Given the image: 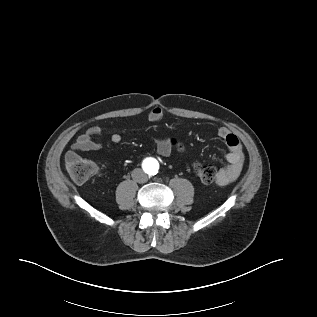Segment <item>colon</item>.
<instances>
[{
  "mask_svg": "<svg viewBox=\"0 0 317 317\" xmlns=\"http://www.w3.org/2000/svg\"><path fill=\"white\" fill-rule=\"evenodd\" d=\"M68 169L72 179L76 183H84L90 179L96 172L95 164L86 159H74L68 162ZM194 172L199 180L204 184L213 183L218 175V169L213 164L195 163Z\"/></svg>",
  "mask_w": 317,
  "mask_h": 317,
  "instance_id": "5ec220e1",
  "label": "colon"
}]
</instances>
